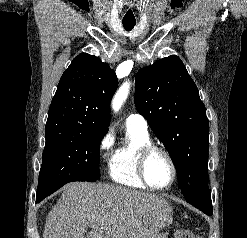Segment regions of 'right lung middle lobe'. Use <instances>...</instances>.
<instances>
[{
	"label": "right lung middle lobe",
	"mask_w": 247,
	"mask_h": 238,
	"mask_svg": "<svg viewBox=\"0 0 247 238\" xmlns=\"http://www.w3.org/2000/svg\"><path fill=\"white\" fill-rule=\"evenodd\" d=\"M106 133L99 128H76L45 134L36 200L71 181H96L100 142Z\"/></svg>",
	"instance_id": "right-lung-middle-lobe-1"
}]
</instances>
